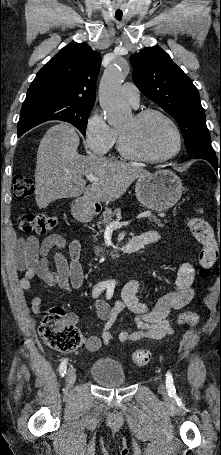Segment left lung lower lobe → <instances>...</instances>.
I'll return each mask as SVG.
<instances>
[{
	"label": "left lung lower lobe",
	"mask_w": 221,
	"mask_h": 455,
	"mask_svg": "<svg viewBox=\"0 0 221 455\" xmlns=\"http://www.w3.org/2000/svg\"><path fill=\"white\" fill-rule=\"evenodd\" d=\"M193 157L196 159L199 158V159H204V160L208 161L216 171L219 170V168H220V172H221V158H220V162H219V159H217V156L215 153L197 152V153L193 154Z\"/></svg>",
	"instance_id": "left-lung-lower-lobe-1"
}]
</instances>
